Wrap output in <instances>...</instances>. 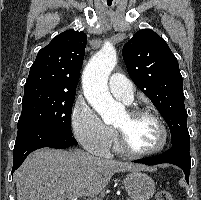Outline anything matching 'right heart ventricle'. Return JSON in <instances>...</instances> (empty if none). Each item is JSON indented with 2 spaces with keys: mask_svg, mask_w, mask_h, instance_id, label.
<instances>
[{
  "mask_svg": "<svg viewBox=\"0 0 201 200\" xmlns=\"http://www.w3.org/2000/svg\"><path fill=\"white\" fill-rule=\"evenodd\" d=\"M113 149L116 152H119V153L122 152L121 148L119 147V144H118V141H117L116 137H114V146H113Z\"/></svg>",
  "mask_w": 201,
  "mask_h": 200,
  "instance_id": "1",
  "label": "right heart ventricle"
}]
</instances>
